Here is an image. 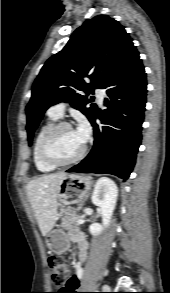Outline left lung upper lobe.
Listing matches in <instances>:
<instances>
[{"instance_id":"1","label":"left lung upper lobe","mask_w":170,"mask_h":293,"mask_svg":"<svg viewBox=\"0 0 170 293\" xmlns=\"http://www.w3.org/2000/svg\"><path fill=\"white\" fill-rule=\"evenodd\" d=\"M132 46L124 27L108 16H95L75 30L66 46L47 60L33 84L26 107L29 144L45 111L58 102H70L91 122L97 106L87 107L90 100L79 92L103 88Z\"/></svg>"}]
</instances>
